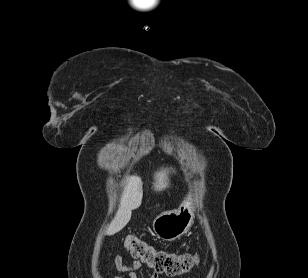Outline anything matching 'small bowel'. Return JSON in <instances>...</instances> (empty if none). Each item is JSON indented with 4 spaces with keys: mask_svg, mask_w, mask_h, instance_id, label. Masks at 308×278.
<instances>
[{
    "mask_svg": "<svg viewBox=\"0 0 308 278\" xmlns=\"http://www.w3.org/2000/svg\"><path fill=\"white\" fill-rule=\"evenodd\" d=\"M115 266L122 274L114 276L113 278H138L135 270L140 266L139 261L136 260L132 263H126L121 255H116ZM149 278H158V274L153 273Z\"/></svg>",
    "mask_w": 308,
    "mask_h": 278,
    "instance_id": "small-bowel-1",
    "label": "small bowel"
}]
</instances>
